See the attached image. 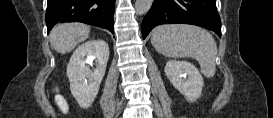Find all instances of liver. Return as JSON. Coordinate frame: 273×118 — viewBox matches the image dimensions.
<instances>
[{
    "label": "liver",
    "instance_id": "6515ba94",
    "mask_svg": "<svg viewBox=\"0 0 273 118\" xmlns=\"http://www.w3.org/2000/svg\"><path fill=\"white\" fill-rule=\"evenodd\" d=\"M90 27L80 23H64L50 32V44L58 53L71 52L79 43L89 37Z\"/></svg>",
    "mask_w": 273,
    "mask_h": 118
}]
</instances>
